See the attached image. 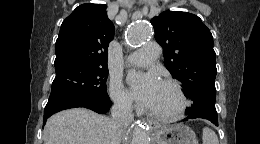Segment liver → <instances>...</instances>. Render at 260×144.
Returning <instances> with one entry per match:
<instances>
[{
  "instance_id": "1",
  "label": "liver",
  "mask_w": 260,
  "mask_h": 144,
  "mask_svg": "<svg viewBox=\"0 0 260 144\" xmlns=\"http://www.w3.org/2000/svg\"><path fill=\"white\" fill-rule=\"evenodd\" d=\"M112 119L85 108H73L51 116L44 129V144H120Z\"/></svg>"
}]
</instances>
